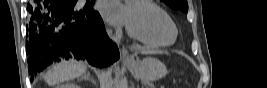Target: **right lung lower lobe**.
<instances>
[{
  "mask_svg": "<svg viewBox=\"0 0 267 88\" xmlns=\"http://www.w3.org/2000/svg\"><path fill=\"white\" fill-rule=\"evenodd\" d=\"M77 0H33L28 4L26 53L29 74L65 59L87 60L96 67L119 59L117 46L108 38L104 23L92 3L76 6Z\"/></svg>",
  "mask_w": 267,
  "mask_h": 88,
  "instance_id": "1",
  "label": "right lung lower lobe"
}]
</instances>
